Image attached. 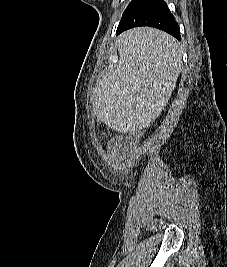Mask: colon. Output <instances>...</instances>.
<instances>
[{
	"label": "colon",
	"mask_w": 227,
	"mask_h": 267,
	"mask_svg": "<svg viewBox=\"0 0 227 267\" xmlns=\"http://www.w3.org/2000/svg\"><path fill=\"white\" fill-rule=\"evenodd\" d=\"M134 138H138V135L137 136H133V137H127L125 139V141L128 142V143H131L134 140Z\"/></svg>",
	"instance_id": "colon-1"
}]
</instances>
